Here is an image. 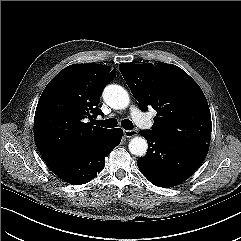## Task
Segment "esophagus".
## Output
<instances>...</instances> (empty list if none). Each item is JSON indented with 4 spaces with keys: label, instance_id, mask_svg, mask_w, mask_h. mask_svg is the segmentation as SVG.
<instances>
[{
    "label": "esophagus",
    "instance_id": "esophagus-1",
    "mask_svg": "<svg viewBox=\"0 0 241 241\" xmlns=\"http://www.w3.org/2000/svg\"><path fill=\"white\" fill-rule=\"evenodd\" d=\"M124 133V136L127 137V138H132V137H135L137 136L138 134V131L137 130H124L123 131Z\"/></svg>",
    "mask_w": 241,
    "mask_h": 241
}]
</instances>
